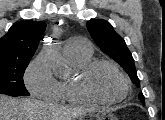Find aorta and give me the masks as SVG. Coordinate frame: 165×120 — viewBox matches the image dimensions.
I'll return each instance as SVG.
<instances>
[{
  "instance_id": "1",
  "label": "aorta",
  "mask_w": 165,
  "mask_h": 120,
  "mask_svg": "<svg viewBox=\"0 0 165 120\" xmlns=\"http://www.w3.org/2000/svg\"><path fill=\"white\" fill-rule=\"evenodd\" d=\"M43 56L45 59L51 63L52 67L55 70H60L63 67V60L60 57L59 54V47L57 43H49L45 46L43 52Z\"/></svg>"
}]
</instances>
